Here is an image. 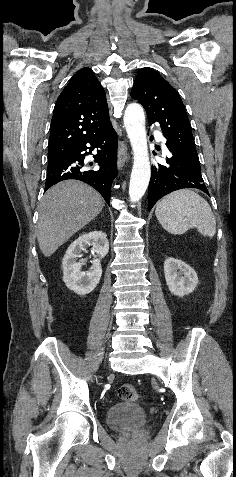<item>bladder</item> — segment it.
I'll list each match as a JSON object with an SVG mask.
<instances>
[{
	"instance_id": "bladder-1",
	"label": "bladder",
	"mask_w": 236,
	"mask_h": 477,
	"mask_svg": "<svg viewBox=\"0 0 236 477\" xmlns=\"http://www.w3.org/2000/svg\"><path fill=\"white\" fill-rule=\"evenodd\" d=\"M107 426L115 432L135 429L148 420V415L135 401L121 400L110 405L105 414Z\"/></svg>"
}]
</instances>
